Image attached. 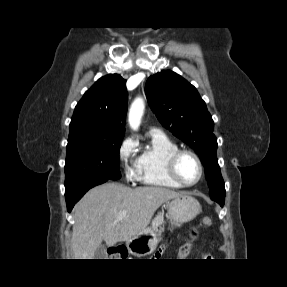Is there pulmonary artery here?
<instances>
[{"label":"pulmonary artery","mask_w":287,"mask_h":287,"mask_svg":"<svg viewBox=\"0 0 287 287\" xmlns=\"http://www.w3.org/2000/svg\"><path fill=\"white\" fill-rule=\"evenodd\" d=\"M149 133L159 134V135H163V134H164L162 128H160V127H155V126H150V128H149Z\"/></svg>","instance_id":"pulmonary-artery-1"}]
</instances>
